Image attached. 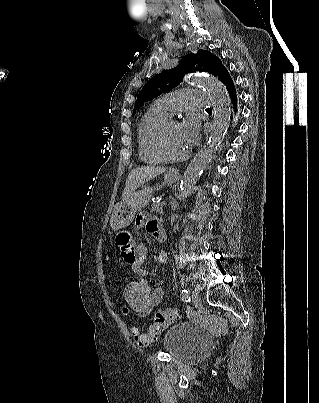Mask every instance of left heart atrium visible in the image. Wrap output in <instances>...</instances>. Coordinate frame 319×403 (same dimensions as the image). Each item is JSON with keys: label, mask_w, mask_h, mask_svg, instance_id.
Wrapping results in <instances>:
<instances>
[{"label": "left heart atrium", "mask_w": 319, "mask_h": 403, "mask_svg": "<svg viewBox=\"0 0 319 403\" xmlns=\"http://www.w3.org/2000/svg\"><path fill=\"white\" fill-rule=\"evenodd\" d=\"M180 134L187 149L193 147L199 134V124L194 117L188 118L180 124Z\"/></svg>", "instance_id": "left-heart-atrium-1"}]
</instances>
